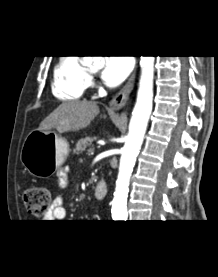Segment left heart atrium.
Listing matches in <instances>:
<instances>
[{"instance_id": "39dd6f15", "label": "left heart atrium", "mask_w": 218, "mask_h": 277, "mask_svg": "<svg viewBox=\"0 0 218 277\" xmlns=\"http://www.w3.org/2000/svg\"><path fill=\"white\" fill-rule=\"evenodd\" d=\"M132 62L128 57H112L106 58L102 71L103 82L114 87L119 85L130 73Z\"/></svg>"}]
</instances>
